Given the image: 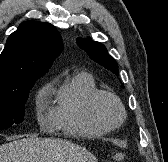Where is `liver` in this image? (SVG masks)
<instances>
[{
  "instance_id": "1",
  "label": "liver",
  "mask_w": 168,
  "mask_h": 162,
  "mask_svg": "<svg viewBox=\"0 0 168 162\" xmlns=\"http://www.w3.org/2000/svg\"><path fill=\"white\" fill-rule=\"evenodd\" d=\"M0 162H97L85 148L62 139L24 138L0 146Z\"/></svg>"
}]
</instances>
